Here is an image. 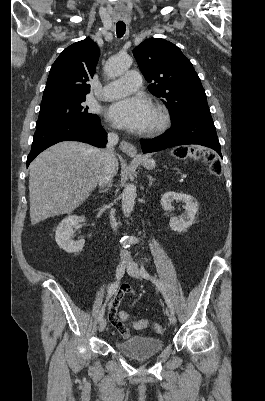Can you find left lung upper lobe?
I'll use <instances>...</instances> for the list:
<instances>
[{
    "label": "left lung upper lobe",
    "mask_w": 265,
    "mask_h": 401,
    "mask_svg": "<svg viewBox=\"0 0 265 401\" xmlns=\"http://www.w3.org/2000/svg\"><path fill=\"white\" fill-rule=\"evenodd\" d=\"M148 90L164 98L173 121L194 113H210L206 94L190 60L173 43L147 39L133 50Z\"/></svg>",
    "instance_id": "obj_1"
}]
</instances>
